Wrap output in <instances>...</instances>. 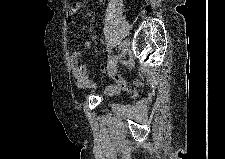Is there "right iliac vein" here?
<instances>
[{
    "instance_id": "right-iliac-vein-1",
    "label": "right iliac vein",
    "mask_w": 225,
    "mask_h": 159,
    "mask_svg": "<svg viewBox=\"0 0 225 159\" xmlns=\"http://www.w3.org/2000/svg\"><path fill=\"white\" fill-rule=\"evenodd\" d=\"M128 50V42L125 40L121 43V54H120V60L124 58ZM116 67H113L115 69Z\"/></svg>"
}]
</instances>
